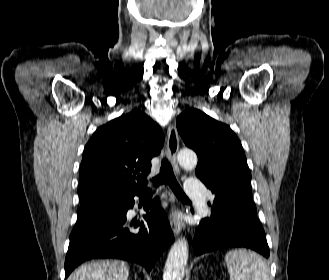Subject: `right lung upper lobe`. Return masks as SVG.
Returning a JSON list of instances; mask_svg holds the SVG:
<instances>
[{
    "label": "right lung upper lobe",
    "instance_id": "obj_1",
    "mask_svg": "<svg viewBox=\"0 0 329 280\" xmlns=\"http://www.w3.org/2000/svg\"><path fill=\"white\" fill-rule=\"evenodd\" d=\"M163 143L160 127L141 111L122 114L99 127L83 152L81 200L144 188L150 161Z\"/></svg>",
    "mask_w": 329,
    "mask_h": 280
}]
</instances>
